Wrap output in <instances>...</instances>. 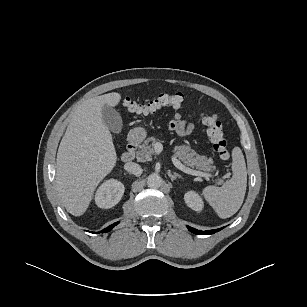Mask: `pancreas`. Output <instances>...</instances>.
<instances>
[{
    "instance_id": "1",
    "label": "pancreas",
    "mask_w": 307,
    "mask_h": 307,
    "mask_svg": "<svg viewBox=\"0 0 307 307\" xmlns=\"http://www.w3.org/2000/svg\"><path fill=\"white\" fill-rule=\"evenodd\" d=\"M157 142L155 137L147 138L142 145L139 146L137 151V160L145 162L151 160V156L154 154V144ZM174 153L185 165L195 167L198 170L205 172L212 171L215 167L212 165L213 160L206 156L198 155L188 145L175 146ZM220 183V182H219Z\"/></svg>"
}]
</instances>
